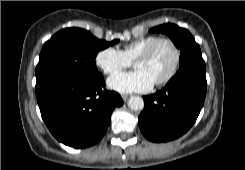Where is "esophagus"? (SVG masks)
<instances>
[{
  "label": "esophagus",
  "instance_id": "obj_1",
  "mask_svg": "<svg viewBox=\"0 0 245 170\" xmlns=\"http://www.w3.org/2000/svg\"><path fill=\"white\" fill-rule=\"evenodd\" d=\"M121 97H122V99H123L124 101H127L128 98H129V96H128V95H125V94H123Z\"/></svg>",
  "mask_w": 245,
  "mask_h": 170
}]
</instances>
